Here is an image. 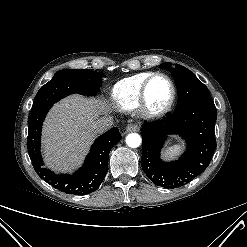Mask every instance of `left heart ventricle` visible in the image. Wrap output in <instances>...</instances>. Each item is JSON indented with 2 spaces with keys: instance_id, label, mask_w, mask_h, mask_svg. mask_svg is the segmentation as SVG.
I'll list each match as a JSON object with an SVG mask.
<instances>
[{
  "instance_id": "left-heart-ventricle-1",
  "label": "left heart ventricle",
  "mask_w": 247,
  "mask_h": 247,
  "mask_svg": "<svg viewBox=\"0 0 247 247\" xmlns=\"http://www.w3.org/2000/svg\"><path fill=\"white\" fill-rule=\"evenodd\" d=\"M171 96V87L169 82L158 77L154 79L148 89V101L152 108L158 109L166 105Z\"/></svg>"
}]
</instances>
